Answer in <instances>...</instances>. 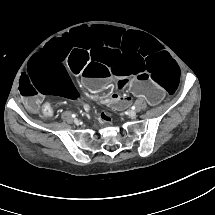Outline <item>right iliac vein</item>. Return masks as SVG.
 I'll use <instances>...</instances> for the list:
<instances>
[{
  "label": "right iliac vein",
  "instance_id": "63e3f726",
  "mask_svg": "<svg viewBox=\"0 0 215 215\" xmlns=\"http://www.w3.org/2000/svg\"><path fill=\"white\" fill-rule=\"evenodd\" d=\"M74 123H75V124H79V120L75 119V120H74Z\"/></svg>",
  "mask_w": 215,
  "mask_h": 215
}]
</instances>
